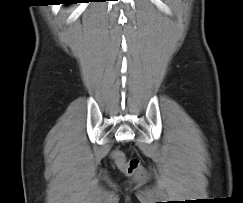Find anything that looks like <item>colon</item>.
<instances>
[{"label":"colon","instance_id":"obj_1","mask_svg":"<svg viewBox=\"0 0 243 203\" xmlns=\"http://www.w3.org/2000/svg\"><path fill=\"white\" fill-rule=\"evenodd\" d=\"M112 158L118 165V167L128 176H132L135 178H143L144 171L140 164L139 159L132 158L126 160L124 155L120 151H113Z\"/></svg>","mask_w":243,"mask_h":203}]
</instances>
